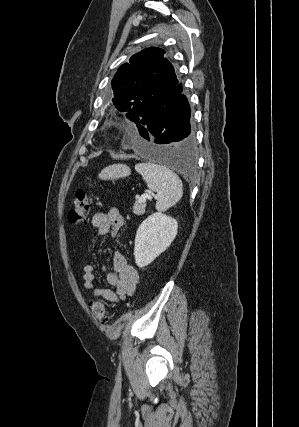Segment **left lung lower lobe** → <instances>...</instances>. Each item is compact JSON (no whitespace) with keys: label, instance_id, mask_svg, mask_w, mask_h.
<instances>
[{"label":"left lung lower lobe","instance_id":"obj_1","mask_svg":"<svg viewBox=\"0 0 299 427\" xmlns=\"http://www.w3.org/2000/svg\"><path fill=\"white\" fill-rule=\"evenodd\" d=\"M190 115L180 83L160 101L141 108L134 123L139 134L150 143H140V151L156 162L183 172L191 171L195 140Z\"/></svg>","mask_w":299,"mask_h":427}]
</instances>
